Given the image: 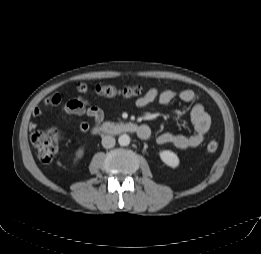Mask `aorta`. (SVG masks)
Here are the masks:
<instances>
[{
  "label": "aorta",
  "mask_w": 261,
  "mask_h": 254,
  "mask_svg": "<svg viewBox=\"0 0 261 254\" xmlns=\"http://www.w3.org/2000/svg\"><path fill=\"white\" fill-rule=\"evenodd\" d=\"M130 137L127 134L120 135L118 138V143L121 146H128L130 144Z\"/></svg>",
  "instance_id": "aorta-1"
}]
</instances>
